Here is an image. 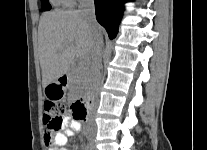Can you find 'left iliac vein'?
Returning a JSON list of instances; mask_svg holds the SVG:
<instances>
[{
    "label": "left iliac vein",
    "mask_w": 207,
    "mask_h": 150,
    "mask_svg": "<svg viewBox=\"0 0 207 150\" xmlns=\"http://www.w3.org/2000/svg\"><path fill=\"white\" fill-rule=\"evenodd\" d=\"M90 147H91L93 150H95L94 147H93L92 145H91ZM92 149H91V150H92Z\"/></svg>",
    "instance_id": "left-iliac-vein-1"
}]
</instances>
